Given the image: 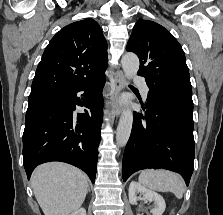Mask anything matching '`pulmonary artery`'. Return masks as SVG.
<instances>
[{
	"mask_svg": "<svg viewBox=\"0 0 223 215\" xmlns=\"http://www.w3.org/2000/svg\"><path fill=\"white\" fill-rule=\"evenodd\" d=\"M133 81L135 86L139 87V93L141 98H150V90L148 89V83L145 82V77H139V73H134Z\"/></svg>",
	"mask_w": 223,
	"mask_h": 215,
	"instance_id": "1",
	"label": "pulmonary artery"
}]
</instances>
